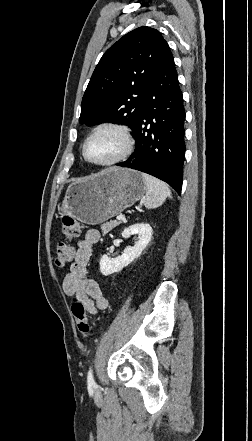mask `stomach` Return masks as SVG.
<instances>
[{
  "label": "stomach",
  "instance_id": "0dacf381",
  "mask_svg": "<svg viewBox=\"0 0 252 441\" xmlns=\"http://www.w3.org/2000/svg\"><path fill=\"white\" fill-rule=\"evenodd\" d=\"M145 191L146 184L140 172L113 167L70 184L58 210L62 215L96 225L132 206Z\"/></svg>",
  "mask_w": 252,
  "mask_h": 441
}]
</instances>
